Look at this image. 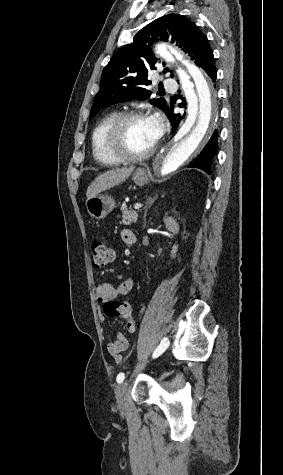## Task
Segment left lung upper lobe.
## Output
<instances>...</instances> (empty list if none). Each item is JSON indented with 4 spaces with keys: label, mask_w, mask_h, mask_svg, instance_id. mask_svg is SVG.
I'll list each match as a JSON object with an SVG mask.
<instances>
[{
    "label": "left lung upper lobe",
    "mask_w": 283,
    "mask_h": 475,
    "mask_svg": "<svg viewBox=\"0 0 283 475\" xmlns=\"http://www.w3.org/2000/svg\"><path fill=\"white\" fill-rule=\"evenodd\" d=\"M158 39L179 44L199 67L212 54L207 37L185 16L169 14L152 21L134 36L132 44L116 52L104 68L90 119L109 104L150 97L151 91L143 86L151 83L147 80L148 71L159 64L150 50V45ZM167 71L165 68L163 73ZM149 102L164 110L168 106L164 98L149 99Z\"/></svg>",
    "instance_id": "obj_1"
}]
</instances>
